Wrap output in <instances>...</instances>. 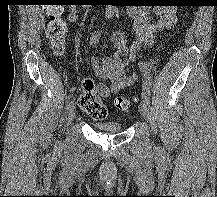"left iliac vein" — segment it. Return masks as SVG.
<instances>
[{"label":"left iliac vein","mask_w":217,"mask_h":197,"mask_svg":"<svg viewBox=\"0 0 217 197\" xmlns=\"http://www.w3.org/2000/svg\"><path fill=\"white\" fill-rule=\"evenodd\" d=\"M139 110L141 115L147 120L149 118V108L148 105L142 101L139 105Z\"/></svg>","instance_id":"obj_1"}]
</instances>
